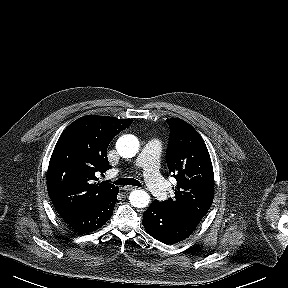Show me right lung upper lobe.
<instances>
[{"mask_svg": "<svg viewBox=\"0 0 288 288\" xmlns=\"http://www.w3.org/2000/svg\"><path fill=\"white\" fill-rule=\"evenodd\" d=\"M133 120L87 115L75 120L61 134L51 155L47 185L60 215L88 209L119 190L108 181L96 183V172L111 165L110 141Z\"/></svg>", "mask_w": 288, "mask_h": 288, "instance_id": "cb5924a9", "label": "right lung upper lobe"}]
</instances>
